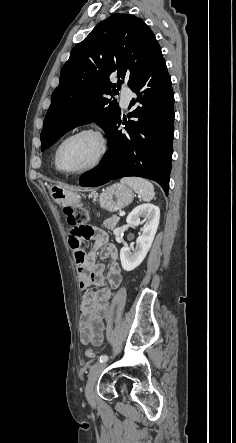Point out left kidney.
<instances>
[{
  "instance_id": "5707ae66",
  "label": "left kidney",
  "mask_w": 236,
  "mask_h": 443,
  "mask_svg": "<svg viewBox=\"0 0 236 443\" xmlns=\"http://www.w3.org/2000/svg\"><path fill=\"white\" fill-rule=\"evenodd\" d=\"M140 218H144L141 221ZM160 219V209L154 204H142L132 210L127 216L126 222L131 226L142 227V234L136 240L135 248L124 246L120 250V260L125 271H132L138 267L146 257L154 240Z\"/></svg>"
}]
</instances>
